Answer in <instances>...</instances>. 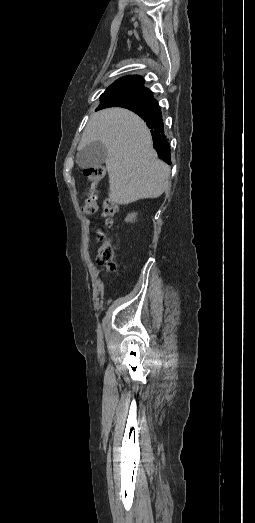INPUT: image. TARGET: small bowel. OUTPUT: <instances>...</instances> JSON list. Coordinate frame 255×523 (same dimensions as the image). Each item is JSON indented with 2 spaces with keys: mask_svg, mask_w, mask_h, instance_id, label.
<instances>
[{
  "mask_svg": "<svg viewBox=\"0 0 255 523\" xmlns=\"http://www.w3.org/2000/svg\"><path fill=\"white\" fill-rule=\"evenodd\" d=\"M103 239V234L99 231L97 234V240L101 241Z\"/></svg>",
  "mask_w": 255,
  "mask_h": 523,
  "instance_id": "obj_1",
  "label": "small bowel"
}]
</instances>
